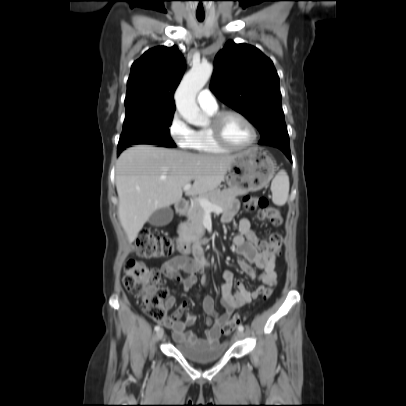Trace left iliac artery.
I'll list each match as a JSON object with an SVG mask.
<instances>
[{
  "mask_svg": "<svg viewBox=\"0 0 406 406\" xmlns=\"http://www.w3.org/2000/svg\"><path fill=\"white\" fill-rule=\"evenodd\" d=\"M238 330H239V331H243V330H244L243 325H239V326H238Z\"/></svg>",
  "mask_w": 406,
  "mask_h": 406,
  "instance_id": "1",
  "label": "left iliac artery"
}]
</instances>
